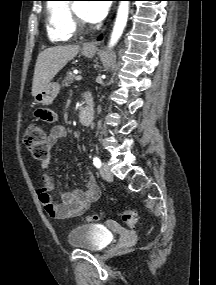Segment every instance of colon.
I'll use <instances>...</instances> for the list:
<instances>
[{
    "label": "colon",
    "mask_w": 216,
    "mask_h": 285,
    "mask_svg": "<svg viewBox=\"0 0 216 285\" xmlns=\"http://www.w3.org/2000/svg\"><path fill=\"white\" fill-rule=\"evenodd\" d=\"M24 145L28 152L37 160L44 161L50 155L47 134L39 125L29 126L23 137ZM121 219L129 227L134 228L138 221L137 212L133 209H125L120 213ZM100 214L88 216L86 222H97L101 220Z\"/></svg>",
    "instance_id": "5ec220e1"
}]
</instances>
